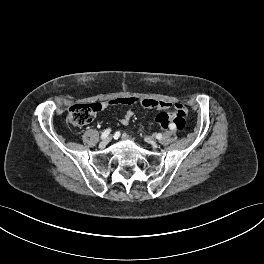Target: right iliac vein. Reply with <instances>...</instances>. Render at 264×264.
I'll return each instance as SVG.
<instances>
[{
	"mask_svg": "<svg viewBox=\"0 0 264 264\" xmlns=\"http://www.w3.org/2000/svg\"><path fill=\"white\" fill-rule=\"evenodd\" d=\"M111 140H113V135H108V137H106L105 139H103V142H107L109 143Z\"/></svg>",
	"mask_w": 264,
	"mask_h": 264,
	"instance_id": "63e3f726",
	"label": "right iliac vein"
}]
</instances>
